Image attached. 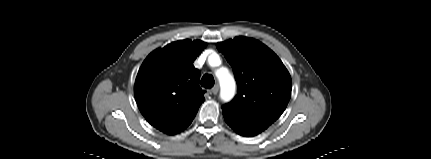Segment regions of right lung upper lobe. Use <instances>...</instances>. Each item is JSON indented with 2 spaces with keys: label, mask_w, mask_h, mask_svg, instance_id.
<instances>
[{
  "label": "right lung upper lobe",
  "mask_w": 431,
  "mask_h": 159,
  "mask_svg": "<svg viewBox=\"0 0 431 159\" xmlns=\"http://www.w3.org/2000/svg\"><path fill=\"white\" fill-rule=\"evenodd\" d=\"M206 47L200 40L172 42L142 63L134 96L146 120L158 130L177 134L186 129L205 100L194 60Z\"/></svg>",
  "instance_id": "cb5924a9"
}]
</instances>
